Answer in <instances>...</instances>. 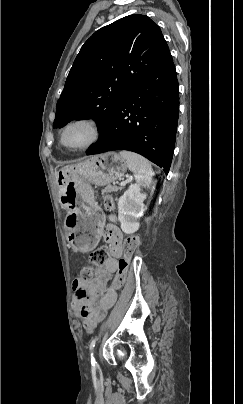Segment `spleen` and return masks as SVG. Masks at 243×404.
Returning <instances> with one entry per match:
<instances>
[{
  "label": "spleen",
  "mask_w": 243,
  "mask_h": 404,
  "mask_svg": "<svg viewBox=\"0 0 243 404\" xmlns=\"http://www.w3.org/2000/svg\"><path fill=\"white\" fill-rule=\"evenodd\" d=\"M120 156L127 162V166L133 172L137 184L143 186V188H151L154 174L150 162L143 156H139V154H133V152H120Z\"/></svg>",
  "instance_id": "spleen-1"
}]
</instances>
